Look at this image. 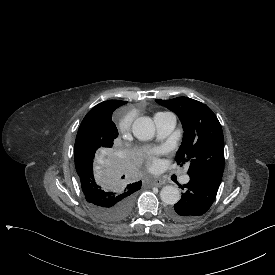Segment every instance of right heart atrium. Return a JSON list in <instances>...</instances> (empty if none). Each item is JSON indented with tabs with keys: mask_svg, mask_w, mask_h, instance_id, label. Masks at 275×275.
I'll return each instance as SVG.
<instances>
[{
	"mask_svg": "<svg viewBox=\"0 0 275 275\" xmlns=\"http://www.w3.org/2000/svg\"><path fill=\"white\" fill-rule=\"evenodd\" d=\"M129 123H130V120H124L121 124H120V130H125L128 128L129 126Z\"/></svg>",
	"mask_w": 275,
	"mask_h": 275,
	"instance_id": "right-heart-atrium-1",
	"label": "right heart atrium"
}]
</instances>
